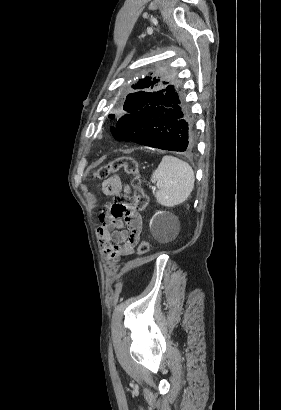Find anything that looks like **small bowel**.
Wrapping results in <instances>:
<instances>
[{
  "mask_svg": "<svg viewBox=\"0 0 281 410\" xmlns=\"http://www.w3.org/2000/svg\"><path fill=\"white\" fill-rule=\"evenodd\" d=\"M121 189L122 183L118 177L109 178L102 187L103 192L111 196L119 195ZM99 219L97 236L107 257L115 261L122 256L131 255L142 230V217L137 213L115 217L107 209H103ZM124 225L127 230H123Z\"/></svg>",
  "mask_w": 281,
  "mask_h": 410,
  "instance_id": "1",
  "label": "small bowel"
}]
</instances>
